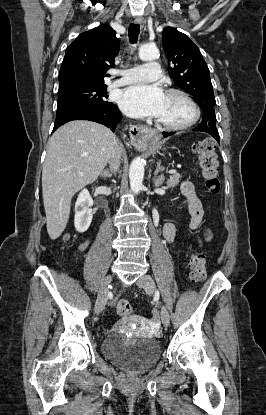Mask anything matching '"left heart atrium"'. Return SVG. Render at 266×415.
I'll list each match as a JSON object with an SVG mask.
<instances>
[{
    "label": "left heart atrium",
    "instance_id": "39dd6f15",
    "mask_svg": "<svg viewBox=\"0 0 266 415\" xmlns=\"http://www.w3.org/2000/svg\"><path fill=\"white\" fill-rule=\"evenodd\" d=\"M163 90L157 85H135L127 88L120 99L124 113L135 118H157L164 107Z\"/></svg>",
    "mask_w": 266,
    "mask_h": 415
}]
</instances>
